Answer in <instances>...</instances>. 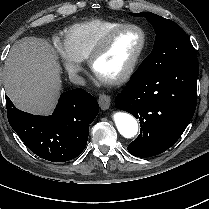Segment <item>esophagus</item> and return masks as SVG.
I'll return each mask as SVG.
<instances>
[{
	"label": "esophagus",
	"instance_id": "34e87169",
	"mask_svg": "<svg viewBox=\"0 0 209 209\" xmlns=\"http://www.w3.org/2000/svg\"><path fill=\"white\" fill-rule=\"evenodd\" d=\"M98 102L102 110H107L110 107L111 98L109 95L101 94Z\"/></svg>",
	"mask_w": 209,
	"mask_h": 209
}]
</instances>
